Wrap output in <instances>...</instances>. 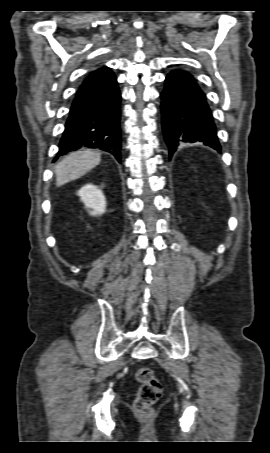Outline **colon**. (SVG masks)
Wrapping results in <instances>:
<instances>
[{
	"instance_id": "5ec220e1",
	"label": "colon",
	"mask_w": 270,
	"mask_h": 453,
	"mask_svg": "<svg viewBox=\"0 0 270 453\" xmlns=\"http://www.w3.org/2000/svg\"><path fill=\"white\" fill-rule=\"evenodd\" d=\"M136 379L141 386L135 400V409L139 414L147 417L152 414V407L162 394V384L154 372L147 367L137 370Z\"/></svg>"
}]
</instances>
